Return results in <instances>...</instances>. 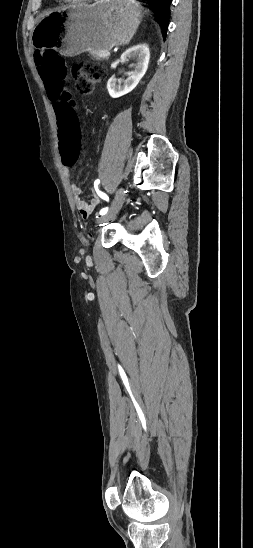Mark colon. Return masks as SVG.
Masks as SVG:
<instances>
[{
  "mask_svg": "<svg viewBox=\"0 0 253 548\" xmlns=\"http://www.w3.org/2000/svg\"><path fill=\"white\" fill-rule=\"evenodd\" d=\"M37 74H41L44 83V94L48 96L49 105H53L55 120L59 130V139L62 142L61 155L64 166H73L78 160V137L82 136V127L79 126V105L72 98V82L69 80L68 61L59 60L60 56L50 50L37 51ZM77 91L82 95L90 94L95 85L104 77V70L89 62L76 63L72 67Z\"/></svg>",
  "mask_w": 253,
  "mask_h": 548,
  "instance_id": "5ec220e1",
  "label": "colon"
}]
</instances>
